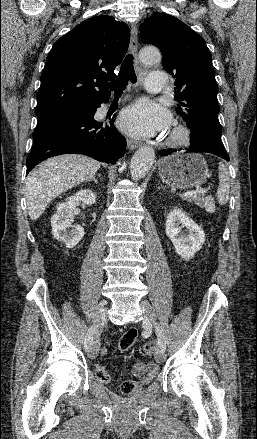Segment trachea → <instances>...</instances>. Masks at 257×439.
Instances as JSON below:
<instances>
[{
  "label": "trachea",
  "mask_w": 257,
  "mask_h": 439,
  "mask_svg": "<svg viewBox=\"0 0 257 439\" xmlns=\"http://www.w3.org/2000/svg\"><path fill=\"white\" fill-rule=\"evenodd\" d=\"M136 83L137 77L133 67V55L128 54L119 71L117 78L109 83V89L114 91L115 95H121L128 82Z\"/></svg>",
  "instance_id": "3493384b"
}]
</instances>
